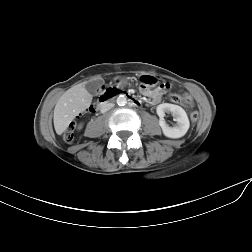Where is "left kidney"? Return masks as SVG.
I'll list each match as a JSON object with an SVG mask.
<instances>
[{
    "mask_svg": "<svg viewBox=\"0 0 252 252\" xmlns=\"http://www.w3.org/2000/svg\"><path fill=\"white\" fill-rule=\"evenodd\" d=\"M157 115L159 116V124L162 128L163 134L169 138H180L186 134L190 123L185 110L174 104L162 103L157 106ZM165 113H171L177 122V125L170 127L164 120Z\"/></svg>",
    "mask_w": 252,
    "mask_h": 252,
    "instance_id": "obj_1",
    "label": "left kidney"
}]
</instances>
